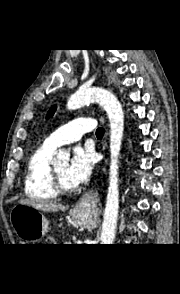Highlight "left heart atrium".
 I'll return each instance as SVG.
<instances>
[{
  "label": "left heart atrium",
  "instance_id": "obj_1",
  "mask_svg": "<svg viewBox=\"0 0 180 294\" xmlns=\"http://www.w3.org/2000/svg\"><path fill=\"white\" fill-rule=\"evenodd\" d=\"M93 166V152L88 148L77 147L67 168V179L73 186H77L89 178Z\"/></svg>",
  "mask_w": 180,
  "mask_h": 294
}]
</instances>
